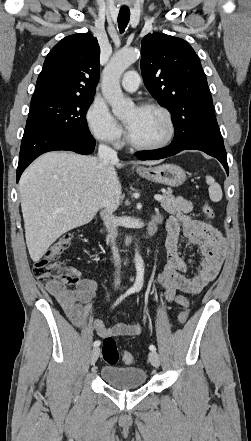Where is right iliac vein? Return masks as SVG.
<instances>
[{"label":"right iliac vein","mask_w":251,"mask_h":441,"mask_svg":"<svg viewBox=\"0 0 251 441\" xmlns=\"http://www.w3.org/2000/svg\"><path fill=\"white\" fill-rule=\"evenodd\" d=\"M100 355V348L96 347L92 350L90 355V364L94 365Z\"/></svg>","instance_id":"1"}]
</instances>
